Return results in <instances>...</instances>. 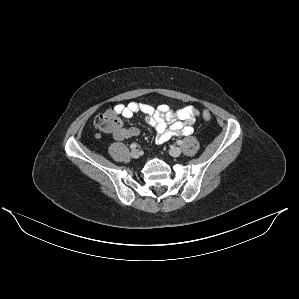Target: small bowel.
Wrapping results in <instances>:
<instances>
[{
	"label": "small bowel",
	"instance_id": "small-bowel-1",
	"mask_svg": "<svg viewBox=\"0 0 299 299\" xmlns=\"http://www.w3.org/2000/svg\"><path fill=\"white\" fill-rule=\"evenodd\" d=\"M115 110L125 118H131L137 113H142L146 121L156 131L157 144H164L174 136H188L192 134V125L198 115L192 106L172 111L166 104L159 105L155 108L151 105L138 102L116 104ZM139 134L140 130L137 127L121 128L119 131L113 133V137L121 141L137 137Z\"/></svg>",
	"mask_w": 299,
	"mask_h": 299
}]
</instances>
